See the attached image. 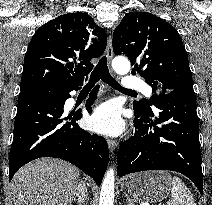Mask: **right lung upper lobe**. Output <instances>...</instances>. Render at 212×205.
<instances>
[{
	"label": "right lung upper lobe",
	"mask_w": 212,
	"mask_h": 205,
	"mask_svg": "<svg viewBox=\"0 0 212 205\" xmlns=\"http://www.w3.org/2000/svg\"><path fill=\"white\" fill-rule=\"evenodd\" d=\"M107 37L86 13H68L42 25L24 58L20 90L43 84H83L92 58L102 55Z\"/></svg>",
	"instance_id": "obj_1"
}]
</instances>
